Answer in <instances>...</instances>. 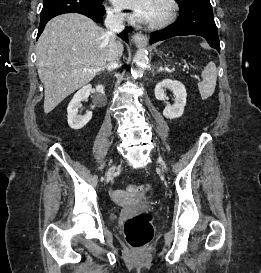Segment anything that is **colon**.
<instances>
[{
  "instance_id": "colon-1",
  "label": "colon",
  "mask_w": 261,
  "mask_h": 273,
  "mask_svg": "<svg viewBox=\"0 0 261 273\" xmlns=\"http://www.w3.org/2000/svg\"><path fill=\"white\" fill-rule=\"evenodd\" d=\"M126 193L131 198H143L146 195L145 188L140 185L130 184L126 187ZM115 199L120 200L122 195L116 193ZM124 236L127 243L134 249L147 246L153 238V227L151 217L142 213L128 219L124 224Z\"/></svg>"
}]
</instances>
